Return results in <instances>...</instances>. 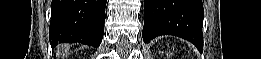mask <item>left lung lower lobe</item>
Instances as JSON below:
<instances>
[{
    "mask_svg": "<svg viewBox=\"0 0 261 59\" xmlns=\"http://www.w3.org/2000/svg\"><path fill=\"white\" fill-rule=\"evenodd\" d=\"M144 12V42L161 35H174L203 50L201 0H144Z\"/></svg>",
    "mask_w": 261,
    "mask_h": 59,
    "instance_id": "left-lung-lower-lobe-1",
    "label": "left lung lower lobe"
}]
</instances>
